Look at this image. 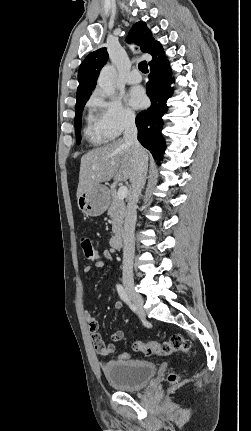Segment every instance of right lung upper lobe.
I'll return each instance as SVG.
<instances>
[{"label": "right lung upper lobe", "instance_id": "1", "mask_svg": "<svg viewBox=\"0 0 251 431\" xmlns=\"http://www.w3.org/2000/svg\"><path fill=\"white\" fill-rule=\"evenodd\" d=\"M128 42L135 41L141 50L152 55L149 65L166 58L162 45L156 41L146 23L140 21L133 25L127 38ZM108 59L106 48H100L90 53L79 67L77 99L90 96L94 90L100 70Z\"/></svg>", "mask_w": 251, "mask_h": 431}]
</instances>
